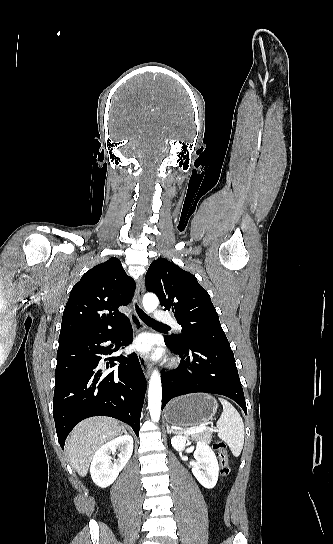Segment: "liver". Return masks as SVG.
I'll return each instance as SVG.
<instances>
[{
	"instance_id": "1",
	"label": "liver",
	"mask_w": 333,
	"mask_h": 544,
	"mask_svg": "<svg viewBox=\"0 0 333 544\" xmlns=\"http://www.w3.org/2000/svg\"><path fill=\"white\" fill-rule=\"evenodd\" d=\"M121 429L116 420L105 417L90 418L79 423L66 443L72 468L85 477L96 451L120 435Z\"/></svg>"
}]
</instances>
